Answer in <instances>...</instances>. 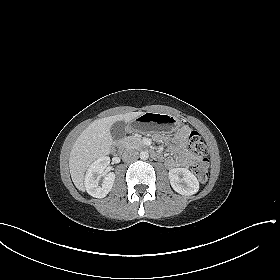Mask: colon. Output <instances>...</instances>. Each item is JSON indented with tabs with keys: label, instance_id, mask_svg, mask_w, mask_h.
I'll return each mask as SVG.
<instances>
[{
	"label": "colon",
	"instance_id": "colon-1",
	"mask_svg": "<svg viewBox=\"0 0 280 280\" xmlns=\"http://www.w3.org/2000/svg\"><path fill=\"white\" fill-rule=\"evenodd\" d=\"M187 146L189 150L196 153L204 154L206 152V145L201 135L192 130L187 136ZM193 172L200 182H205L208 178L209 162L207 159H202L193 166Z\"/></svg>",
	"mask_w": 280,
	"mask_h": 280
}]
</instances>
